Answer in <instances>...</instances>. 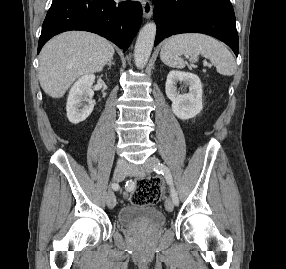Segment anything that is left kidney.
Instances as JSON below:
<instances>
[{
  "mask_svg": "<svg viewBox=\"0 0 286 269\" xmlns=\"http://www.w3.org/2000/svg\"><path fill=\"white\" fill-rule=\"evenodd\" d=\"M189 85V93L180 94L177 83ZM167 97L172 101L173 113L182 120L195 117L203 109L202 84L199 77L193 73L170 71L165 85Z\"/></svg>",
  "mask_w": 286,
  "mask_h": 269,
  "instance_id": "left-kidney-1",
  "label": "left kidney"
}]
</instances>
